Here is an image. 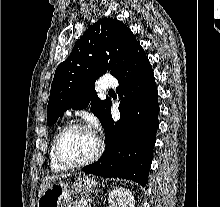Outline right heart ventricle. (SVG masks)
I'll use <instances>...</instances> for the list:
<instances>
[{"label": "right heart ventricle", "mask_w": 220, "mask_h": 207, "mask_svg": "<svg viewBox=\"0 0 220 207\" xmlns=\"http://www.w3.org/2000/svg\"><path fill=\"white\" fill-rule=\"evenodd\" d=\"M49 161H50V166H51L52 170H54V171H61V170L66 169V168L62 167L60 164H58L54 158L53 142L51 143L50 150H49Z\"/></svg>", "instance_id": "obj_1"}]
</instances>
